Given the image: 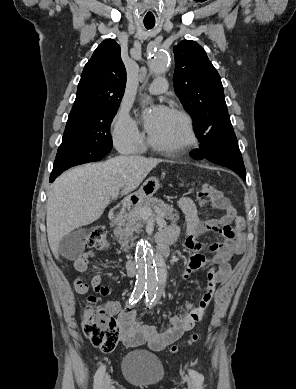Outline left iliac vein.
Returning <instances> with one entry per match:
<instances>
[{"mask_svg":"<svg viewBox=\"0 0 296 389\" xmlns=\"http://www.w3.org/2000/svg\"><path fill=\"white\" fill-rule=\"evenodd\" d=\"M187 384H188V389H197L195 382L192 381L191 379L187 380Z\"/></svg>","mask_w":296,"mask_h":389,"instance_id":"4c4485c4","label":"left iliac vein"}]
</instances>
